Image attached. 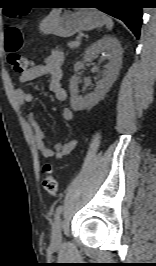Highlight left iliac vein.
<instances>
[{
	"label": "left iliac vein",
	"instance_id": "obj_1",
	"mask_svg": "<svg viewBox=\"0 0 156 266\" xmlns=\"http://www.w3.org/2000/svg\"><path fill=\"white\" fill-rule=\"evenodd\" d=\"M62 220L58 218L52 225L51 243L53 246H59L62 242Z\"/></svg>",
	"mask_w": 156,
	"mask_h": 266
}]
</instances>
